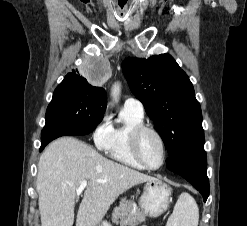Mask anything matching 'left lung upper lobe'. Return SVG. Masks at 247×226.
Wrapping results in <instances>:
<instances>
[{"mask_svg":"<svg viewBox=\"0 0 247 226\" xmlns=\"http://www.w3.org/2000/svg\"><path fill=\"white\" fill-rule=\"evenodd\" d=\"M122 70L170 156L204 143L201 107L193 85L171 55L126 58Z\"/></svg>","mask_w":247,"mask_h":226,"instance_id":"1","label":"left lung upper lobe"}]
</instances>
